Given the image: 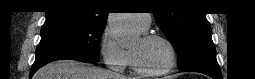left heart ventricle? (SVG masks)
I'll use <instances>...</instances> for the list:
<instances>
[{
  "label": "left heart ventricle",
  "mask_w": 255,
  "mask_h": 79,
  "mask_svg": "<svg viewBox=\"0 0 255 79\" xmlns=\"http://www.w3.org/2000/svg\"><path fill=\"white\" fill-rule=\"evenodd\" d=\"M141 65L148 71L161 70L169 60V51L166 44L160 40L144 41L141 38L131 49Z\"/></svg>",
  "instance_id": "1"
}]
</instances>
